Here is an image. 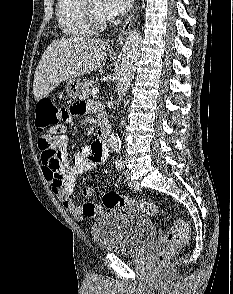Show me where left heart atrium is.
<instances>
[{
  "mask_svg": "<svg viewBox=\"0 0 233 294\" xmlns=\"http://www.w3.org/2000/svg\"><path fill=\"white\" fill-rule=\"evenodd\" d=\"M133 0H105L104 12L106 17L120 16L129 10Z\"/></svg>",
  "mask_w": 233,
  "mask_h": 294,
  "instance_id": "1",
  "label": "left heart atrium"
}]
</instances>
